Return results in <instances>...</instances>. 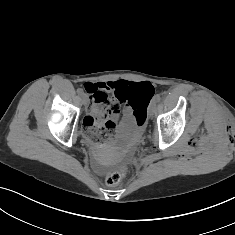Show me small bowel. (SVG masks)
<instances>
[{
  "label": "small bowel",
  "mask_w": 235,
  "mask_h": 235,
  "mask_svg": "<svg viewBox=\"0 0 235 235\" xmlns=\"http://www.w3.org/2000/svg\"><path fill=\"white\" fill-rule=\"evenodd\" d=\"M130 84H135L132 82L120 80V81H107V82H97L89 83L87 85L88 90L94 94V103L90 107V115L85 120V125L90 133L94 135L99 134H108V137L112 135V132L117 127V122L120 115L121 99L120 93L123 92ZM114 93L110 98L107 97V94ZM102 94L105 96V99L109 101L110 107L106 110L108 114V119L105 124L97 128L95 125H90L89 118L95 116L99 112L104 110V107L97 101L96 95ZM124 123H132L131 117V108L126 107L124 109Z\"/></svg>",
  "instance_id": "obj_1"
}]
</instances>
